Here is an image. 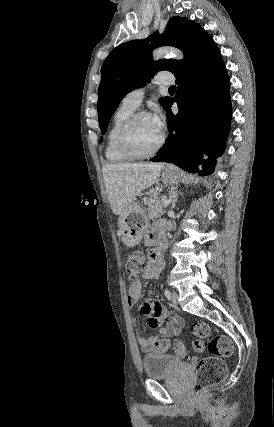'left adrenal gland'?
<instances>
[{"label":"left adrenal gland","instance_id":"1","mask_svg":"<svg viewBox=\"0 0 274 427\" xmlns=\"http://www.w3.org/2000/svg\"><path fill=\"white\" fill-rule=\"evenodd\" d=\"M169 194H170V200H171V210H173L178 198L176 188H171Z\"/></svg>","mask_w":274,"mask_h":427}]
</instances>
